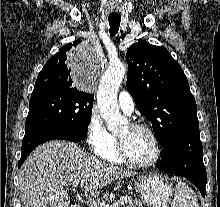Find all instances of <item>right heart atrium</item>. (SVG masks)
<instances>
[{
    "label": "right heart atrium",
    "mask_w": 220,
    "mask_h": 207,
    "mask_svg": "<svg viewBox=\"0 0 220 207\" xmlns=\"http://www.w3.org/2000/svg\"><path fill=\"white\" fill-rule=\"evenodd\" d=\"M87 142L90 149L96 154L106 149L113 142V136L107 130L101 115L96 109H93L89 116Z\"/></svg>",
    "instance_id": "d8ad5b80"
}]
</instances>
